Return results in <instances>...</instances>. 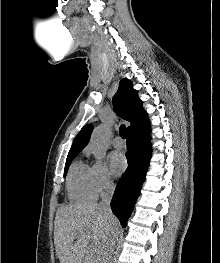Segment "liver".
<instances>
[{
	"label": "liver",
	"instance_id": "liver-1",
	"mask_svg": "<svg viewBox=\"0 0 220 263\" xmlns=\"http://www.w3.org/2000/svg\"><path fill=\"white\" fill-rule=\"evenodd\" d=\"M119 221L97 203L61 206L54 222V244L60 263H93L104 259L106 241Z\"/></svg>",
	"mask_w": 220,
	"mask_h": 263
}]
</instances>
